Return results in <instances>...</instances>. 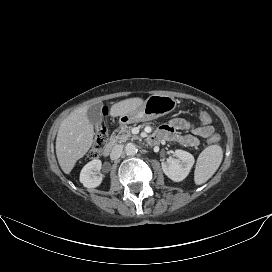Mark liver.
<instances>
[{
  "label": "liver",
  "mask_w": 272,
  "mask_h": 272,
  "mask_svg": "<svg viewBox=\"0 0 272 272\" xmlns=\"http://www.w3.org/2000/svg\"><path fill=\"white\" fill-rule=\"evenodd\" d=\"M142 98H129L113 104L110 115L117 117L143 105ZM87 107L71 112L60 124L56 138V155L64 173L69 174L93 143L94 128L87 117Z\"/></svg>",
  "instance_id": "6515ba94"
}]
</instances>
